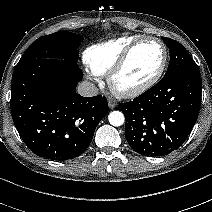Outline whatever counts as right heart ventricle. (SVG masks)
<instances>
[{
    "mask_svg": "<svg viewBox=\"0 0 212 212\" xmlns=\"http://www.w3.org/2000/svg\"><path fill=\"white\" fill-rule=\"evenodd\" d=\"M139 36H123L90 46L84 54L86 63L98 75L110 72L125 49Z\"/></svg>",
    "mask_w": 212,
    "mask_h": 212,
    "instance_id": "e07e8e85",
    "label": "right heart ventricle"
}]
</instances>
